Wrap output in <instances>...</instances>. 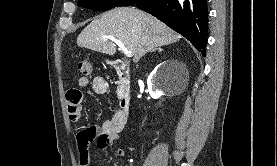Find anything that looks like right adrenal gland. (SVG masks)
I'll return each instance as SVG.
<instances>
[{"label": "right adrenal gland", "instance_id": "obj_1", "mask_svg": "<svg viewBox=\"0 0 277 166\" xmlns=\"http://www.w3.org/2000/svg\"><path fill=\"white\" fill-rule=\"evenodd\" d=\"M156 50H157L158 52H161V51H162V49H161L160 47H158V48L152 50L151 52L156 51Z\"/></svg>", "mask_w": 277, "mask_h": 166}]
</instances>
